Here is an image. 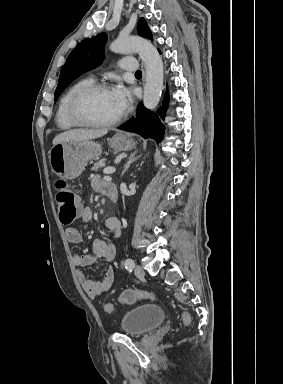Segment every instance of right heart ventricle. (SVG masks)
I'll return each instance as SVG.
<instances>
[{
    "instance_id": "right-heart-ventricle-1",
    "label": "right heart ventricle",
    "mask_w": 283,
    "mask_h": 384,
    "mask_svg": "<svg viewBox=\"0 0 283 384\" xmlns=\"http://www.w3.org/2000/svg\"><path fill=\"white\" fill-rule=\"evenodd\" d=\"M92 83V80L89 78H85L82 80H79L75 82L73 85H71L60 97L56 112H55V121L57 124V127L62 131H70L73 129H76V126L72 124V122L69 120L68 117V106L72 99V97L75 95L77 91H79L81 88H83L86 85H89Z\"/></svg>"
}]
</instances>
